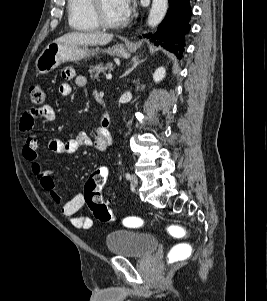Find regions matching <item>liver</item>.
Returning <instances> with one entry per match:
<instances>
[{"label": "liver", "mask_w": 267, "mask_h": 301, "mask_svg": "<svg viewBox=\"0 0 267 301\" xmlns=\"http://www.w3.org/2000/svg\"><path fill=\"white\" fill-rule=\"evenodd\" d=\"M113 39L112 34H106L101 32H71L64 34L56 39V43H69L78 45H106Z\"/></svg>", "instance_id": "6515ba94"}]
</instances>
